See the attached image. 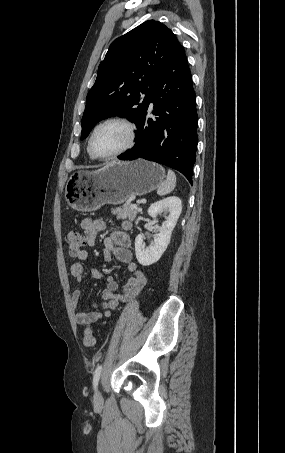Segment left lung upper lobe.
<instances>
[{
  "label": "left lung upper lobe",
  "mask_w": 285,
  "mask_h": 453,
  "mask_svg": "<svg viewBox=\"0 0 285 453\" xmlns=\"http://www.w3.org/2000/svg\"><path fill=\"white\" fill-rule=\"evenodd\" d=\"M179 45L174 33L155 20L113 41L87 95L81 140L97 122L111 116L137 124L149 106L162 70Z\"/></svg>",
  "instance_id": "5c2ea615"
}]
</instances>
